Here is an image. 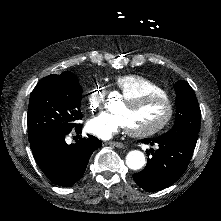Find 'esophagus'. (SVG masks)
Returning a JSON list of instances; mask_svg holds the SVG:
<instances>
[{
    "instance_id": "esophagus-1",
    "label": "esophagus",
    "mask_w": 221,
    "mask_h": 221,
    "mask_svg": "<svg viewBox=\"0 0 221 221\" xmlns=\"http://www.w3.org/2000/svg\"><path fill=\"white\" fill-rule=\"evenodd\" d=\"M106 145L114 146V147H117V148H124V144L122 142H117V141L107 142Z\"/></svg>"
}]
</instances>
